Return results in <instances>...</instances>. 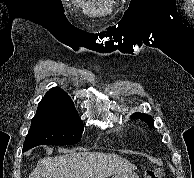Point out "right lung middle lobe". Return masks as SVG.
Wrapping results in <instances>:
<instances>
[{"label": "right lung middle lobe", "mask_w": 194, "mask_h": 178, "mask_svg": "<svg viewBox=\"0 0 194 178\" xmlns=\"http://www.w3.org/2000/svg\"><path fill=\"white\" fill-rule=\"evenodd\" d=\"M84 125L77 113L38 105L23 151L38 145H70L81 140Z\"/></svg>", "instance_id": "right-lung-middle-lobe-1"}]
</instances>
